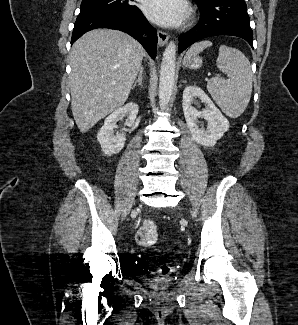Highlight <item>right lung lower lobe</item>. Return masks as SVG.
I'll return each mask as SVG.
<instances>
[{"label":"right lung lower lobe","mask_w":298,"mask_h":325,"mask_svg":"<svg viewBox=\"0 0 298 325\" xmlns=\"http://www.w3.org/2000/svg\"><path fill=\"white\" fill-rule=\"evenodd\" d=\"M96 28L117 29L128 33L137 39L148 54L155 59L157 31L148 23L138 7L80 13L74 25L71 43L73 44L85 32ZM143 33H147V38H142Z\"/></svg>","instance_id":"98d812e1"}]
</instances>
